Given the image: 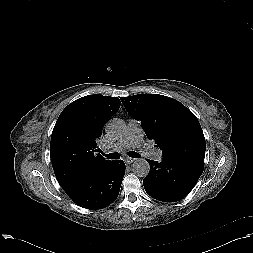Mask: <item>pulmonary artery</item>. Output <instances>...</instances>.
<instances>
[{"instance_id":"pulmonary-artery-1","label":"pulmonary artery","mask_w":253,"mask_h":253,"mask_svg":"<svg viewBox=\"0 0 253 253\" xmlns=\"http://www.w3.org/2000/svg\"><path fill=\"white\" fill-rule=\"evenodd\" d=\"M131 147L141 149L150 159L161 160V150L151 148L144 143L142 130L135 121H129L124 136L115 144L106 147L104 152H122Z\"/></svg>"}]
</instances>
